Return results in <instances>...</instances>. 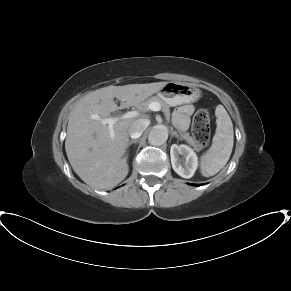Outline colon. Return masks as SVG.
Wrapping results in <instances>:
<instances>
[{
    "mask_svg": "<svg viewBox=\"0 0 291 291\" xmlns=\"http://www.w3.org/2000/svg\"><path fill=\"white\" fill-rule=\"evenodd\" d=\"M192 133L200 146L204 147L207 145L210 138V113L208 110L202 109L195 114Z\"/></svg>",
    "mask_w": 291,
    "mask_h": 291,
    "instance_id": "colon-1",
    "label": "colon"
}]
</instances>
